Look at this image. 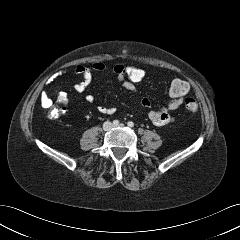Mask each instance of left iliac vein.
<instances>
[{"label":"left iliac vein","mask_w":240,"mask_h":240,"mask_svg":"<svg viewBox=\"0 0 240 240\" xmlns=\"http://www.w3.org/2000/svg\"><path fill=\"white\" fill-rule=\"evenodd\" d=\"M114 127H124V124H120V125L114 126Z\"/></svg>","instance_id":"obj_1"}]
</instances>
